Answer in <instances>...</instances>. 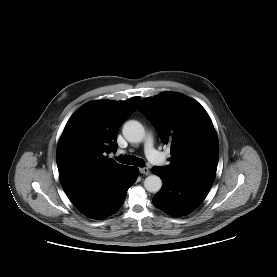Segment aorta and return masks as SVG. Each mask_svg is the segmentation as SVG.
I'll return each instance as SVG.
<instances>
[{"label":"aorta","instance_id":"762f6f07","mask_svg":"<svg viewBox=\"0 0 277 277\" xmlns=\"http://www.w3.org/2000/svg\"><path fill=\"white\" fill-rule=\"evenodd\" d=\"M122 133L124 138L131 143H140L145 137V129L143 125L135 120L127 121ZM144 187L148 192L157 193L162 187V180L157 175H150L144 180Z\"/></svg>","mask_w":277,"mask_h":277}]
</instances>
